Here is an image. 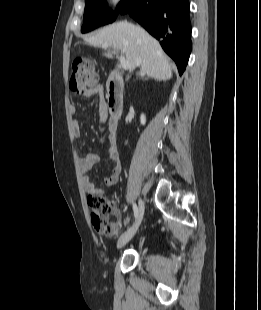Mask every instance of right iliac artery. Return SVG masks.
I'll return each mask as SVG.
<instances>
[{
  "mask_svg": "<svg viewBox=\"0 0 261 310\" xmlns=\"http://www.w3.org/2000/svg\"><path fill=\"white\" fill-rule=\"evenodd\" d=\"M133 212H134V217L136 219L138 217L139 211H138V207L135 203H133Z\"/></svg>",
  "mask_w": 261,
  "mask_h": 310,
  "instance_id": "82829eb1",
  "label": "right iliac artery"
}]
</instances>
